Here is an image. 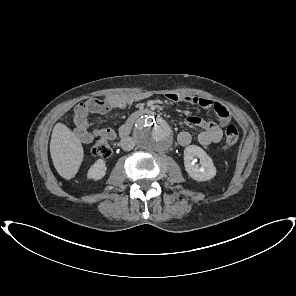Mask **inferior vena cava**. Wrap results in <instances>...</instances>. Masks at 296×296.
I'll return each mask as SVG.
<instances>
[{
    "label": "inferior vena cava",
    "mask_w": 296,
    "mask_h": 296,
    "mask_svg": "<svg viewBox=\"0 0 296 296\" xmlns=\"http://www.w3.org/2000/svg\"><path fill=\"white\" fill-rule=\"evenodd\" d=\"M120 144H121V147H122L123 150L130 151V150H132L134 148L135 141L131 137H124L121 140Z\"/></svg>",
    "instance_id": "602c4592"
}]
</instances>
